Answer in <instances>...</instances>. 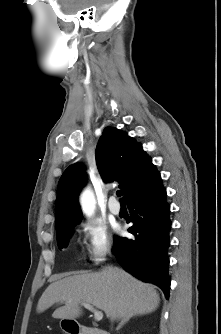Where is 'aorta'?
Returning <instances> with one entry per match:
<instances>
[{"mask_svg":"<svg viewBox=\"0 0 221 334\" xmlns=\"http://www.w3.org/2000/svg\"><path fill=\"white\" fill-rule=\"evenodd\" d=\"M80 201H81L83 212L87 216H92L94 213L95 204H96L93 192L90 189H86L85 191H83Z\"/></svg>","mask_w":221,"mask_h":334,"instance_id":"aorta-1","label":"aorta"}]
</instances>
